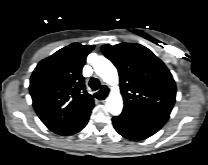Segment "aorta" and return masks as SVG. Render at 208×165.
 Listing matches in <instances>:
<instances>
[{"label":"aorta","mask_w":208,"mask_h":165,"mask_svg":"<svg viewBox=\"0 0 208 165\" xmlns=\"http://www.w3.org/2000/svg\"><path fill=\"white\" fill-rule=\"evenodd\" d=\"M91 63L95 73L100 76L104 82L113 86L110 96L107 99V109L112 115H119L123 108V100L118 87L119 78L116 67L103 56L91 54Z\"/></svg>","instance_id":"1"}]
</instances>
